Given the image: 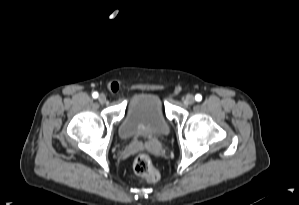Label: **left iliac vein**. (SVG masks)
<instances>
[{
  "label": "left iliac vein",
  "instance_id": "1",
  "mask_svg": "<svg viewBox=\"0 0 299 205\" xmlns=\"http://www.w3.org/2000/svg\"><path fill=\"white\" fill-rule=\"evenodd\" d=\"M195 102V97L192 94H188L186 95L185 99H184V103L186 105H192Z\"/></svg>",
  "mask_w": 299,
  "mask_h": 205
}]
</instances>
